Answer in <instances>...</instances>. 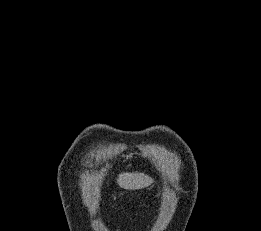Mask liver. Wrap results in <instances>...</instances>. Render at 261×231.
Here are the masks:
<instances>
[{"mask_svg":"<svg viewBox=\"0 0 261 231\" xmlns=\"http://www.w3.org/2000/svg\"><path fill=\"white\" fill-rule=\"evenodd\" d=\"M117 182L121 188L136 190L148 187L153 183V179L143 173H122Z\"/></svg>","mask_w":261,"mask_h":231,"instance_id":"1","label":"liver"}]
</instances>
